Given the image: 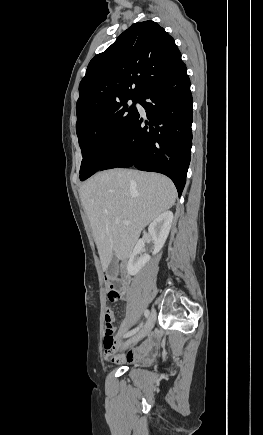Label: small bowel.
<instances>
[{
  "mask_svg": "<svg viewBox=\"0 0 263 435\" xmlns=\"http://www.w3.org/2000/svg\"><path fill=\"white\" fill-rule=\"evenodd\" d=\"M106 313L109 314V316L111 317L112 321H114V315L112 313L111 310H106ZM105 313V316H106ZM135 329V322L133 319L127 317L125 318L121 324L120 327L115 335L114 338V343H115V348L114 350H104V355L106 358H110L114 355V353L116 352V350L119 348V346L121 345L122 339L124 338V336ZM157 345V340H156V336L155 335H150L148 337H146L144 340L141 341V343H139L135 348L129 349L128 351H126L124 354L120 355L117 360L120 362H131V361H135V360H140V359H144L148 356H150L152 354V352L155 350Z\"/></svg>",
  "mask_w": 263,
  "mask_h": 435,
  "instance_id": "1",
  "label": "small bowel"
}]
</instances>
